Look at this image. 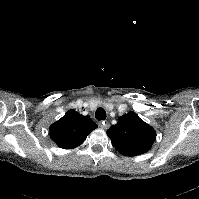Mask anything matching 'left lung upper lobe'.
Wrapping results in <instances>:
<instances>
[{"label":"left lung upper lobe","instance_id":"5c2ea615","mask_svg":"<svg viewBox=\"0 0 199 199\" xmlns=\"http://www.w3.org/2000/svg\"><path fill=\"white\" fill-rule=\"evenodd\" d=\"M107 135L115 149L126 156L147 152L156 138L155 130L135 112L119 117L117 124L107 130Z\"/></svg>","mask_w":199,"mask_h":199}]
</instances>
